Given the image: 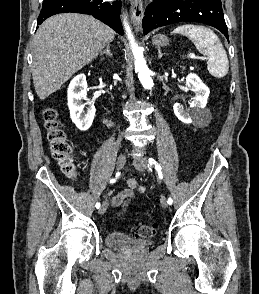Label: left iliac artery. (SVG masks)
<instances>
[{
    "mask_svg": "<svg viewBox=\"0 0 259 294\" xmlns=\"http://www.w3.org/2000/svg\"><path fill=\"white\" fill-rule=\"evenodd\" d=\"M149 167L155 166L156 171L158 172V176L160 179H163V174L161 171V166L153 159V158H149ZM167 203L169 205H171L173 203V200L171 197L168 198Z\"/></svg>",
    "mask_w": 259,
    "mask_h": 294,
    "instance_id": "44dca946",
    "label": "left iliac artery"
}]
</instances>
